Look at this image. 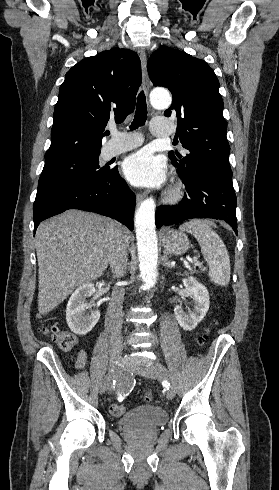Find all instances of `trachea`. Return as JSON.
<instances>
[{
	"label": "trachea",
	"instance_id": "1",
	"mask_svg": "<svg viewBox=\"0 0 279 490\" xmlns=\"http://www.w3.org/2000/svg\"><path fill=\"white\" fill-rule=\"evenodd\" d=\"M146 120H147V105H146L145 95L142 91L138 95L136 112H135L133 122L130 125V130L132 131L138 127L143 126ZM106 134L109 135V132H106Z\"/></svg>",
	"mask_w": 279,
	"mask_h": 490
}]
</instances>
